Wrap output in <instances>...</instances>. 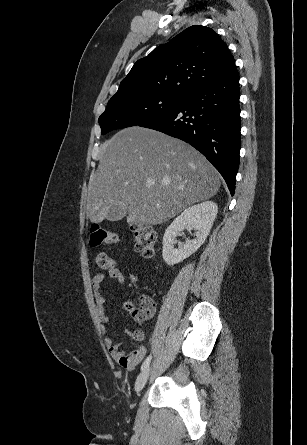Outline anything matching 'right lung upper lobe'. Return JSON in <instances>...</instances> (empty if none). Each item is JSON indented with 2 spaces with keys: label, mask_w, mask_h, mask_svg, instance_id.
I'll list each match as a JSON object with an SVG mask.
<instances>
[{
  "label": "right lung upper lobe",
  "mask_w": 307,
  "mask_h": 445,
  "mask_svg": "<svg viewBox=\"0 0 307 445\" xmlns=\"http://www.w3.org/2000/svg\"><path fill=\"white\" fill-rule=\"evenodd\" d=\"M235 68L224 41L211 28L194 25L138 60L114 96H186Z\"/></svg>",
  "instance_id": "1"
}]
</instances>
